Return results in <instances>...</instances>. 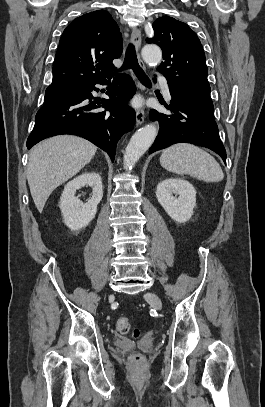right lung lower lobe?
<instances>
[{
  "label": "right lung lower lobe",
  "mask_w": 265,
  "mask_h": 407,
  "mask_svg": "<svg viewBox=\"0 0 265 407\" xmlns=\"http://www.w3.org/2000/svg\"><path fill=\"white\" fill-rule=\"evenodd\" d=\"M110 75L82 84L69 97L54 100L39 109L35 126L27 139L30 149L39 141L60 134L83 137L108 153L114 161L116 145L121 136L133 128L135 112L127 100L136 91L131 77L121 74L111 82ZM96 84L111 85L106 94L110 99L92 101ZM105 108L100 111L99 108Z\"/></svg>",
  "instance_id": "1"
}]
</instances>
